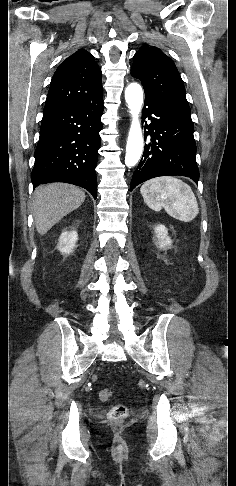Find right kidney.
Returning <instances> with one entry per match:
<instances>
[{"label":"right kidney","mask_w":236,"mask_h":486,"mask_svg":"<svg viewBox=\"0 0 236 486\" xmlns=\"http://www.w3.org/2000/svg\"><path fill=\"white\" fill-rule=\"evenodd\" d=\"M78 240V234L76 231H65L59 237V242L57 245V249L62 254H70L73 252V249L76 245Z\"/></svg>","instance_id":"right-kidney-1"}]
</instances>
